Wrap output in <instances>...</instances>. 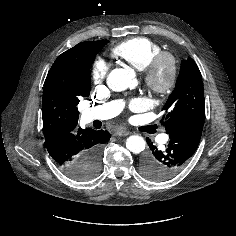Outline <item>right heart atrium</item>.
<instances>
[{"label":"right heart atrium","instance_id":"d8ad5b80","mask_svg":"<svg viewBox=\"0 0 236 236\" xmlns=\"http://www.w3.org/2000/svg\"><path fill=\"white\" fill-rule=\"evenodd\" d=\"M108 64L106 63V61L102 58H97L93 64H92V68H91V79L92 82L95 85H99L101 84L108 73Z\"/></svg>","mask_w":236,"mask_h":236}]
</instances>
